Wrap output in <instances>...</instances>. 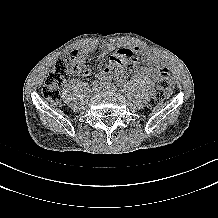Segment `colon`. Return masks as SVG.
Segmentation results:
<instances>
[{
	"instance_id": "obj_1",
	"label": "colon",
	"mask_w": 218,
	"mask_h": 218,
	"mask_svg": "<svg viewBox=\"0 0 218 218\" xmlns=\"http://www.w3.org/2000/svg\"><path fill=\"white\" fill-rule=\"evenodd\" d=\"M72 59L73 53L70 57H64L58 60L45 80L42 93L44 97L53 104H58L60 102V88L66 82L71 73ZM170 87L171 80L169 71L167 68L163 67L158 72V84L148 101V106L151 109L159 107L169 95Z\"/></svg>"
}]
</instances>
